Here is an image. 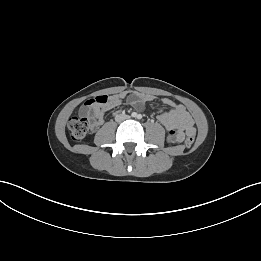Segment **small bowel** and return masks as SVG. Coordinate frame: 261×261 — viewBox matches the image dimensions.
Wrapping results in <instances>:
<instances>
[{
	"instance_id": "c3829d8e",
	"label": "small bowel",
	"mask_w": 261,
	"mask_h": 261,
	"mask_svg": "<svg viewBox=\"0 0 261 261\" xmlns=\"http://www.w3.org/2000/svg\"><path fill=\"white\" fill-rule=\"evenodd\" d=\"M124 96L123 93L108 96L104 103L91 104L88 100L81 106L80 113L90 116L93 120V127H97L103 123L105 112L120 105ZM154 100L155 97L150 94L137 92L131 93L127 97L128 103L138 110L142 109L145 102ZM163 103L170 109L161 113L158 120L168 130L167 141L169 143H180L185 136L194 135V122L185 107L168 98H164Z\"/></svg>"
}]
</instances>
